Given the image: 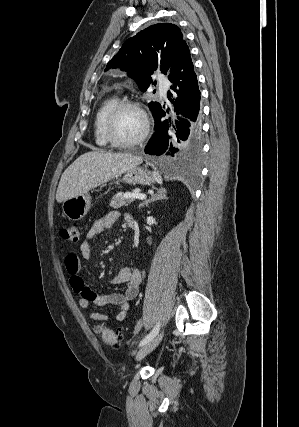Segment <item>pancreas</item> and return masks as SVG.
<instances>
[{"label": "pancreas", "instance_id": "1", "mask_svg": "<svg viewBox=\"0 0 299 427\" xmlns=\"http://www.w3.org/2000/svg\"><path fill=\"white\" fill-rule=\"evenodd\" d=\"M133 201H134L133 198H125L124 194L118 193V194L113 196V198L110 202V207H112L114 209H118V208H121L123 206H127L128 204H130Z\"/></svg>", "mask_w": 299, "mask_h": 427}]
</instances>
